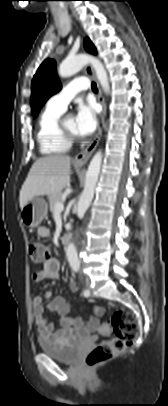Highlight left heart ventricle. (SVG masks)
I'll return each instance as SVG.
<instances>
[{
  "label": "left heart ventricle",
  "mask_w": 168,
  "mask_h": 406,
  "mask_svg": "<svg viewBox=\"0 0 168 406\" xmlns=\"http://www.w3.org/2000/svg\"><path fill=\"white\" fill-rule=\"evenodd\" d=\"M64 126L70 132L77 134L75 129V119L73 116H67L64 119Z\"/></svg>",
  "instance_id": "1"
}]
</instances>
